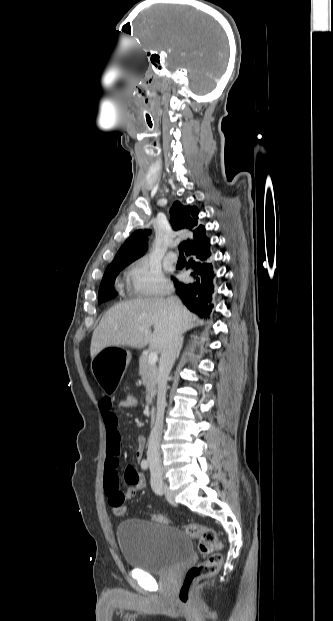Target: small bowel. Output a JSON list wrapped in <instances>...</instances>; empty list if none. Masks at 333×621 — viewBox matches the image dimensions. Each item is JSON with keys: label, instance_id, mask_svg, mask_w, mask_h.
<instances>
[{"label": "small bowel", "instance_id": "1", "mask_svg": "<svg viewBox=\"0 0 333 621\" xmlns=\"http://www.w3.org/2000/svg\"><path fill=\"white\" fill-rule=\"evenodd\" d=\"M99 409L107 433L104 486L108 497V503L114 508L117 505H124L127 501L132 499L137 492L142 490L145 487V479L134 466L128 465L124 472V481L127 483L128 487L125 490L120 489V479L117 472L121 445L118 417L113 411L111 399L108 397H104L100 400ZM136 442L135 459L137 462H140L144 452L145 438L139 436Z\"/></svg>", "mask_w": 333, "mask_h": 621}]
</instances>
